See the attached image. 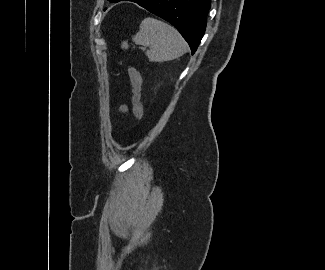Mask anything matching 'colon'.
Listing matches in <instances>:
<instances>
[{"mask_svg":"<svg viewBox=\"0 0 325 270\" xmlns=\"http://www.w3.org/2000/svg\"><path fill=\"white\" fill-rule=\"evenodd\" d=\"M127 71L132 86L133 113L137 120H141L143 117V105L141 102L142 79L134 66L128 65Z\"/></svg>","mask_w":325,"mask_h":270,"instance_id":"5ec220e1","label":"colon"}]
</instances>
